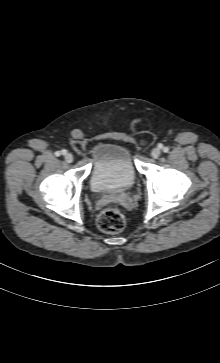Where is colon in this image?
I'll return each instance as SVG.
<instances>
[{"label": "colon", "instance_id": "5ec220e1", "mask_svg": "<svg viewBox=\"0 0 220 363\" xmlns=\"http://www.w3.org/2000/svg\"><path fill=\"white\" fill-rule=\"evenodd\" d=\"M97 225L103 232L118 233L125 227V217L117 208H106L98 215Z\"/></svg>", "mask_w": 220, "mask_h": 363}]
</instances>
